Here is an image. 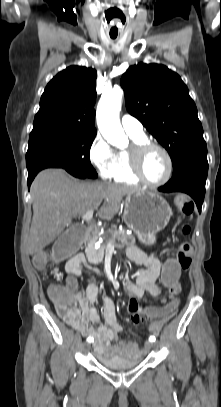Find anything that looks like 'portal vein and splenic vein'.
<instances>
[{
    "mask_svg": "<svg viewBox=\"0 0 221 407\" xmlns=\"http://www.w3.org/2000/svg\"><path fill=\"white\" fill-rule=\"evenodd\" d=\"M93 213H94L93 209L88 210L85 214L81 215V218L83 220H86V221L90 222L92 220V218H93Z\"/></svg>",
    "mask_w": 221,
    "mask_h": 407,
    "instance_id": "portal-vein-and-splenic-vein-1",
    "label": "portal vein and splenic vein"
}]
</instances>
